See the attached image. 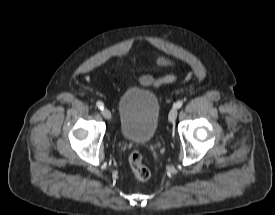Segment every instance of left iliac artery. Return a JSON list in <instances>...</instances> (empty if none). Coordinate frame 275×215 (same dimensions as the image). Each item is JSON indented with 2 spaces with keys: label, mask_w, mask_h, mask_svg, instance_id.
<instances>
[{
  "label": "left iliac artery",
  "mask_w": 275,
  "mask_h": 215,
  "mask_svg": "<svg viewBox=\"0 0 275 215\" xmlns=\"http://www.w3.org/2000/svg\"><path fill=\"white\" fill-rule=\"evenodd\" d=\"M182 105H183V102H182V101H177V102L174 104V108L179 109V108L182 107Z\"/></svg>",
  "instance_id": "1"
}]
</instances>
